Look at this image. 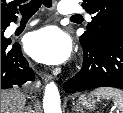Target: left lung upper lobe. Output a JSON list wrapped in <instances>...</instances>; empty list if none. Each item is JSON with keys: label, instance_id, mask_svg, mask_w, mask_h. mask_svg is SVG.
<instances>
[{"label": "left lung upper lobe", "instance_id": "1", "mask_svg": "<svg viewBox=\"0 0 123 113\" xmlns=\"http://www.w3.org/2000/svg\"><path fill=\"white\" fill-rule=\"evenodd\" d=\"M82 6L92 15V22L81 35V43H96L109 23L123 29V0H83Z\"/></svg>", "mask_w": 123, "mask_h": 113}]
</instances>
